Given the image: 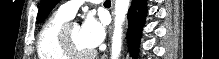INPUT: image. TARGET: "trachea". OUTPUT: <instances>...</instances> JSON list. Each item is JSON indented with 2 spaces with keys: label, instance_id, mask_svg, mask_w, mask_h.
I'll return each instance as SVG.
<instances>
[{
  "label": "trachea",
  "instance_id": "obj_1",
  "mask_svg": "<svg viewBox=\"0 0 219 59\" xmlns=\"http://www.w3.org/2000/svg\"><path fill=\"white\" fill-rule=\"evenodd\" d=\"M107 3H111V1H110V0H106V1H105V4H107Z\"/></svg>",
  "mask_w": 219,
  "mask_h": 59
}]
</instances>
